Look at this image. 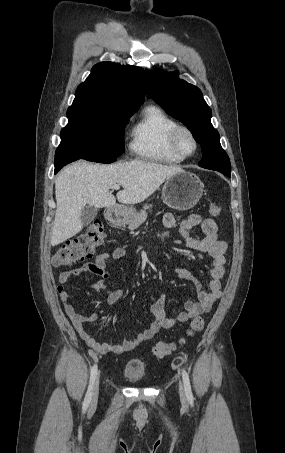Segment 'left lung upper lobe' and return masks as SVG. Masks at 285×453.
Here are the masks:
<instances>
[{
	"mask_svg": "<svg viewBox=\"0 0 285 453\" xmlns=\"http://www.w3.org/2000/svg\"><path fill=\"white\" fill-rule=\"evenodd\" d=\"M147 74L150 97L170 116L184 123L201 145L203 157L198 165L230 177L229 157L221 147L218 131L211 124V109L200 89L180 80L177 71L169 73L158 69Z\"/></svg>",
	"mask_w": 285,
	"mask_h": 453,
	"instance_id": "5c2ea615",
	"label": "left lung upper lobe"
}]
</instances>
